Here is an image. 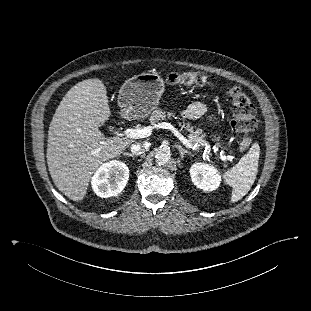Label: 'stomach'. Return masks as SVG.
I'll list each match as a JSON object with an SVG mask.
<instances>
[{
  "label": "stomach",
  "instance_id": "1",
  "mask_svg": "<svg viewBox=\"0 0 311 311\" xmlns=\"http://www.w3.org/2000/svg\"><path fill=\"white\" fill-rule=\"evenodd\" d=\"M164 92L163 79L158 74L142 73L128 79L120 88L118 105L122 114L131 118H144L148 116L159 104ZM210 121H216L210 117ZM212 140L222 141L219 134L212 135Z\"/></svg>",
  "mask_w": 311,
  "mask_h": 311
}]
</instances>
